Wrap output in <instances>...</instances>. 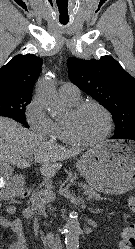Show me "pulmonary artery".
<instances>
[{
  "label": "pulmonary artery",
  "instance_id": "1",
  "mask_svg": "<svg viewBox=\"0 0 135 249\" xmlns=\"http://www.w3.org/2000/svg\"><path fill=\"white\" fill-rule=\"evenodd\" d=\"M59 93L62 98L76 101L80 98L79 88L70 82L64 83L59 88Z\"/></svg>",
  "mask_w": 135,
  "mask_h": 249
}]
</instances>
